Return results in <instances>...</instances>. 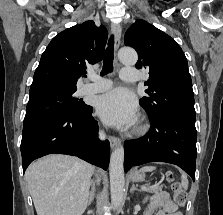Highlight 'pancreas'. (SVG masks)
Segmentation results:
<instances>
[{
  "label": "pancreas",
  "mask_w": 223,
  "mask_h": 215,
  "mask_svg": "<svg viewBox=\"0 0 223 215\" xmlns=\"http://www.w3.org/2000/svg\"><path fill=\"white\" fill-rule=\"evenodd\" d=\"M145 191H152V193H157V191H162V187H152L151 190L145 189Z\"/></svg>",
  "instance_id": "obj_1"
}]
</instances>
